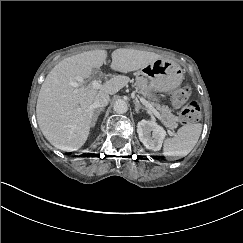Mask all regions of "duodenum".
<instances>
[{
    "mask_svg": "<svg viewBox=\"0 0 243 243\" xmlns=\"http://www.w3.org/2000/svg\"><path fill=\"white\" fill-rule=\"evenodd\" d=\"M116 72H117L118 74H123V70H122V69H117Z\"/></svg>",
    "mask_w": 243,
    "mask_h": 243,
    "instance_id": "410a0bca",
    "label": "duodenum"
}]
</instances>
